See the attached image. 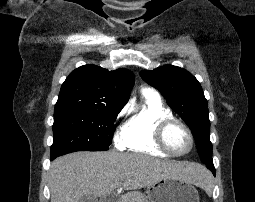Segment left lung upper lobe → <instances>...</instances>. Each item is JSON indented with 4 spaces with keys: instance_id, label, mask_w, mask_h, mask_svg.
Masks as SVG:
<instances>
[{
    "instance_id": "5c2ea615",
    "label": "left lung upper lobe",
    "mask_w": 255,
    "mask_h": 202,
    "mask_svg": "<svg viewBox=\"0 0 255 202\" xmlns=\"http://www.w3.org/2000/svg\"><path fill=\"white\" fill-rule=\"evenodd\" d=\"M140 75L162 93L168 105L189 126L201 161L213 162L208 105L197 79L185 69L173 65L144 70Z\"/></svg>"
}]
</instances>
